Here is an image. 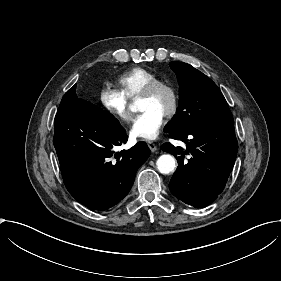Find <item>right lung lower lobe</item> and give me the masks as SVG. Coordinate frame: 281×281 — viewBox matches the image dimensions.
I'll return each instance as SVG.
<instances>
[{"label":"right lung lower lobe","mask_w":281,"mask_h":281,"mask_svg":"<svg viewBox=\"0 0 281 281\" xmlns=\"http://www.w3.org/2000/svg\"><path fill=\"white\" fill-rule=\"evenodd\" d=\"M76 85L61 100L53 143L67 190L92 210H106L130 191L137 170L150 156L141 141L127 151L114 148L128 136L108 111L79 99Z\"/></svg>","instance_id":"obj_1"}]
</instances>
